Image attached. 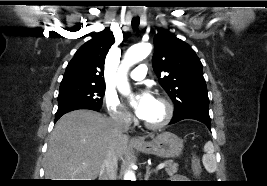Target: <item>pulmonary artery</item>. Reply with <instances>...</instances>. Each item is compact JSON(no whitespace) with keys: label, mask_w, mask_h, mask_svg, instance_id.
Masks as SVG:
<instances>
[{"label":"pulmonary artery","mask_w":267,"mask_h":186,"mask_svg":"<svg viewBox=\"0 0 267 186\" xmlns=\"http://www.w3.org/2000/svg\"><path fill=\"white\" fill-rule=\"evenodd\" d=\"M147 66L145 64H139L130 72V77L134 80H141L147 74Z\"/></svg>","instance_id":"obj_1"}]
</instances>
